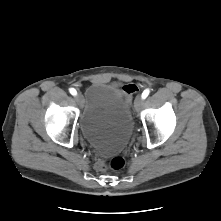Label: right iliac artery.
<instances>
[{"label":"right iliac artery","mask_w":221,"mask_h":221,"mask_svg":"<svg viewBox=\"0 0 221 221\" xmlns=\"http://www.w3.org/2000/svg\"><path fill=\"white\" fill-rule=\"evenodd\" d=\"M70 93H71L72 95H76V94H77V91H76L74 88H71V89H70Z\"/></svg>","instance_id":"obj_1"}]
</instances>
